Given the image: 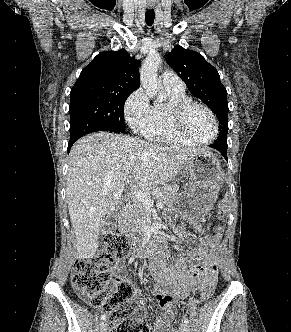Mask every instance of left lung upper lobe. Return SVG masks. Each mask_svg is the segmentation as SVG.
I'll return each mask as SVG.
<instances>
[{
  "instance_id": "obj_1",
  "label": "left lung upper lobe",
  "mask_w": 291,
  "mask_h": 332,
  "mask_svg": "<svg viewBox=\"0 0 291 332\" xmlns=\"http://www.w3.org/2000/svg\"><path fill=\"white\" fill-rule=\"evenodd\" d=\"M165 60L186 83L189 91L202 100L219 120L218 138L227 139L228 102L227 91L220 81L215 67L195 51L176 46Z\"/></svg>"
}]
</instances>
